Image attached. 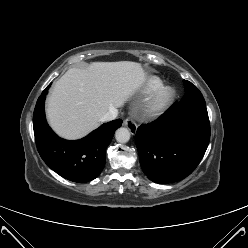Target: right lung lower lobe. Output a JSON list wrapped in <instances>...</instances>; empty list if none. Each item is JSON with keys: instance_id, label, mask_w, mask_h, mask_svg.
I'll return each instance as SVG.
<instances>
[{"instance_id": "98d812e1", "label": "right lung lower lobe", "mask_w": 248, "mask_h": 248, "mask_svg": "<svg viewBox=\"0 0 248 248\" xmlns=\"http://www.w3.org/2000/svg\"><path fill=\"white\" fill-rule=\"evenodd\" d=\"M50 85L37 100L33 114L36 146L44 162L57 174L74 182L95 179L105 165V151L121 119L101 125L88 136L76 141L58 137L45 119L44 101Z\"/></svg>"}]
</instances>
